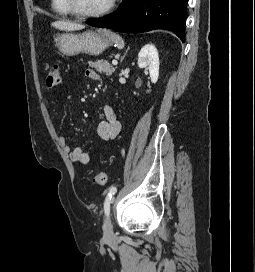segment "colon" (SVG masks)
I'll return each instance as SVG.
<instances>
[{
  "label": "colon",
  "instance_id": "obj_1",
  "mask_svg": "<svg viewBox=\"0 0 255 272\" xmlns=\"http://www.w3.org/2000/svg\"><path fill=\"white\" fill-rule=\"evenodd\" d=\"M62 77H61V72H60V66L58 64H52L49 66L47 70V75L45 78V86L47 89H55L59 87L61 84ZM107 175L104 172L98 173L95 178L94 182L97 185H105L107 183Z\"/></svg>",
  "mask_w": 255,
  "mask_h": 272
}]
</instances>
